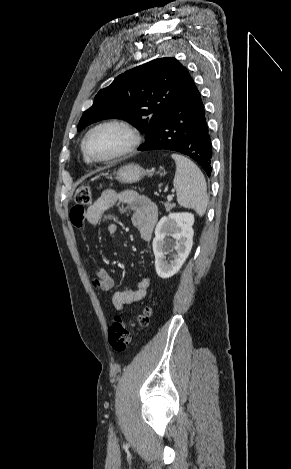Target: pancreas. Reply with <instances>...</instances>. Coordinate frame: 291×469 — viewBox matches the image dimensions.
Returning <instances> with one entry per match:
<instances>
[{
	"instance_id": "cf45deb5",
	"label": "pancreas",
	"mask_w": 291,
	"mask_h": 469,
	"mask_svg": "<svg viewBox=\"0 0 291 469\" xmlns=\"http://www.w3.org/2000/svg\"><path fill=\"white\" fill-rule=\"evenodd\" d=\"M164 206H165L167 211H170L172 208L175 207V204H171V203L167 202V203H164Z\"/></svg>"
}]
</instances>
